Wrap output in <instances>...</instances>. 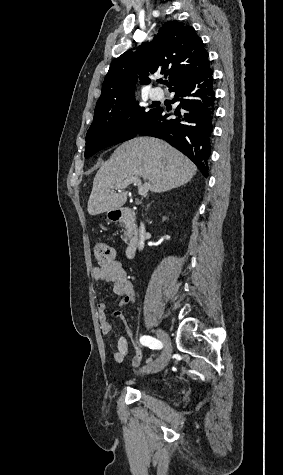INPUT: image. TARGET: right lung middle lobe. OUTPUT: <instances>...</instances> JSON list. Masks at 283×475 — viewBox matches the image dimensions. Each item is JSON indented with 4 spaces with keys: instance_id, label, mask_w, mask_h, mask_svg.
I'll return each mask as SVG.
<instances>
[{
    "instance_id": "dd1d6c3e",
    "label": "right lung middle lobe",
    "mask_w": 283,
    "mask_h": 475,
    "mask_svg": "<svg viewBox=\"0 0 283 475\" xmlns=\"http://www.w3.org/2000/svg\"><path fill=\"white\" fill-rule=\"evenodd\" d=\"M157 108L146 110L133 98L125 103L98 107L86 134L85 158L98 151L134 138L156 114Z\"/></svg>"
}]
</instances>
